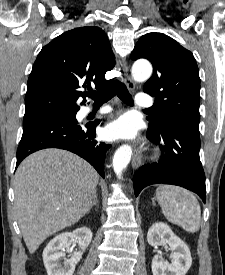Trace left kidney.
<instances>
[{"mask_svg":"<svg viewBox=\"0 0 225 275\" xmlns=\"http://www.w3.org/2000/svg\"><path fill=\"white\" fill-rule=\"evenodd\" d=\"M147 241L153 246L168 244L171 251V263L165 262L160 254L152 260L153 275H185L192 264L191 253L188 246L176 236L165 223H156L147 233Z\"/></svg>","mask_w":225,"mask_h":275,"instance_id":"5707ae66","label":"left kidney"}]
</instances>
